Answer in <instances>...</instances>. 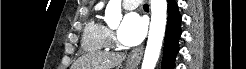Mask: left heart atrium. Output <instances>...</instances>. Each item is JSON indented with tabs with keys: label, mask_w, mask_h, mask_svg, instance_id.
Wrapping results in <instances>:
<instances>
[{
	"label": "left heart atrium",
	"mask_w": 246,
	"mask_h": 69,
	"mask_svg": "<svg viewBox=\"0 0 246 69\" xmlns=\"http://www.w3.org/2000/svg\"><path fill=\"white\" fill-rule=\"evenodd\" d=\"M145 32L146 22L144 18L136 12H130L125 15L117 36L124 45L134 46L143 40Z\"/></svg>",
	"instance_id": "left-heart-atrium-1"
}]
</instances>
